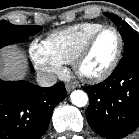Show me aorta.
<instances>
[{
	"mask_svg": "<svg viewBox=\"0 0 139 139\" xmlns=\"http://www.w3.org/2000/svg\"><path fill=\"white\" fill-rule=\"evenodd\" d=\"M71 102L77 107H84L88 103V95L82 90H75L70 95Z\"/></svg>",
	"mask_w": 139,
	"mask_h": 139,
	"instance_id": "762f6f07",
	"label": "aorta"
}]
</instances>
